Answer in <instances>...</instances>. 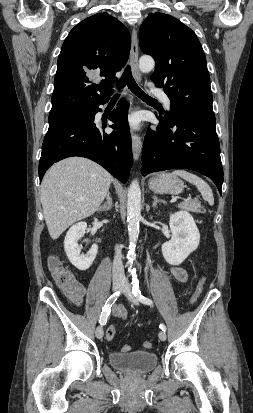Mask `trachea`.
I'll return each instance as SVG.
<instances>
[{
  "label": "trachea",
  "mask_w": 253,
  "mask_h": 413,
  "mask_svg": "<svg viewBox=\"0 0 253 413\" xmlns=\"http://www.w3.org/2000/svg\"><path fill=\"white\" fill-rule=\"evenodd\" d=\"M128 85L130 90L137 95L140 99L144 101H149V102H157L155 99L152 97L148 96L146 93H144L141 88L137 85L136 81L134 80L131 72L130 66H127L124 70V73L121 77V79L118 82V87L123 88L124 86ZM119 94H116L114 98H117Z\"/></svg>",
  "instance_id": "3493384b"
}]
</instances>
